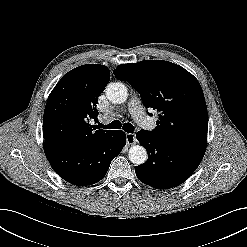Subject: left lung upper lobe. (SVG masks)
<instances>
[{"mask_svg":"<svg viewBox=\"0 0 247 247\" xmlns=\"http://www.w3.org/2000/svg\"><path fill=\"white\" fill-rule=\"evenodd\" d=\"M113 73L139 92L145 107L159 112L157 126L146 132L162 142L205 153L207 106L202 88L191 73L163 60L123 64Z\"/></svg>","mask_w":247,"mask_h":247,"instance_id":"1","label":"left lung upper lobe"}]
</instances>
